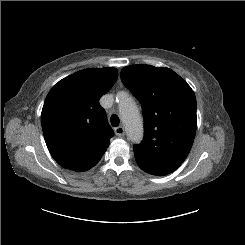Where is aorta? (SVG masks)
Instances as JSON below:
<instances>
[{"label":"aorta","mask_w":245,"mask_h":245,"mask_svg":"<svg viewBox=\"0 0 245 245\" xmlns=\"http://www.w3.org/2000/svg\"><path fill=\"white\" fill-rule=\"evenodd\" d=\"M119 113L128 139L139 143L143 138V123L135 102L127 93L119 94Z\"/></svg>","instance_id":"762f6f07"}]
</instances>
